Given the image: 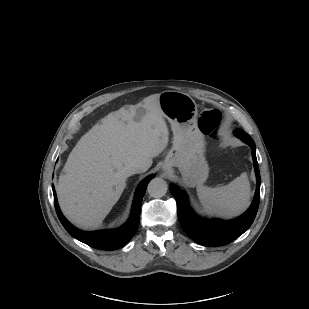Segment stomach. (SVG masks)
<instances>
[{
    "mask_svg": "<svg viewBox=\"0 0 309 309\" xmlns=\"http://www.w3.org/2000/svg\"><path fill=\"white\" fill-rule=\"evenodd\" d=\"M159 105L173 131V146L169 150L163 169L179 168L189 186L202 184L208 177L204 136L198 128V108L192 97L180 91L159 94Z\"/></svg>",
    "mask_w": 309,
    "mask_h": 309,
    "instance_id": "0dacf381",
    "label": "stomach"
}]
</instances>
